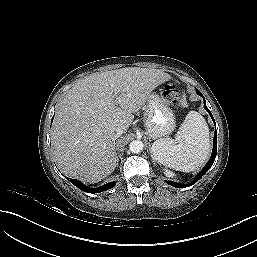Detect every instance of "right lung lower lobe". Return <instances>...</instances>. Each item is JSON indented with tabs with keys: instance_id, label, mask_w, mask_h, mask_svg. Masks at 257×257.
I'll use <instances>...</instances> for the list:
<instances>
[{
	"instance_id": "98d812e1",
	"label": "right lung lower lobe",
	"mask_w": 257,
	"mask_h": 257,
	"mask_svg": "<svg viewBox=\"0 0 257 257\" xmlns=\"http://www.w3.org/2000/svg\"><path fill=\"white\" fill-rule=\"evenodd\" d=\"M53 120V118H52ZM52 123V122H51ZM68 180L73 184L75 185L76 187H78L80 190L84 191V192H87V193H99V192H103V191H106L112 187L115 186L116 182H110V183H107V184H104L103 186L101 187H97V188H90V187H87L86 185H84L82 182H80L79 180H76V179H70L68 178Z\"/></svg>"
}]
</instances>
